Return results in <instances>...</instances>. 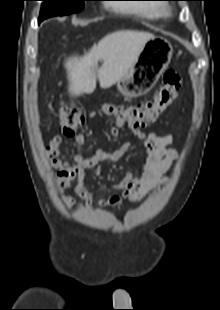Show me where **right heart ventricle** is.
<instances>
[{"instance_id": "1", "label": "right heart ventricle", "mask_w": 220, "mask_h": 310, "mask_svg": "<svg viewBox=\"0 0 220 310\" xmlns=\"http://www.w3.org/2000/svg\"><path fill=\"white\" fill-rule=\"evenodd\" d=\"M131 11L151 20H157L167 14V8L160 4H142L131 8Z\"/></svg>"}]
</instances>
